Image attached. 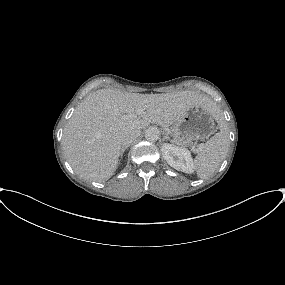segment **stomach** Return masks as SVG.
<instances>
[{"label": "stomach", "instance_id": "obj_1", "mask_svg": "<svg viewBox=\"0 0 285 285\" xmlns=\"http://www.w3.org/2000/svg\"><path fill=\"white\" fill-rule=\"evenodd\" d=\"M214 113L202 105H194L171 127L172 142L190 146L193 141L208 138L215 130Z\"/></svg>", "mask_w": 285, "mask_h": 285}]
</instances>
